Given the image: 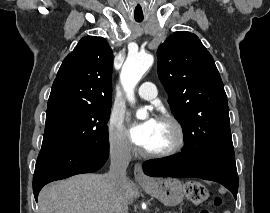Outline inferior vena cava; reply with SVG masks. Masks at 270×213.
Wrapping results in <instances>:
<instances>
[{
  "label": "inferior vena cava",
  "instance_id": "inferior-vena-cava-1",
  "mask_svg": "<svg viewBox=\"0 0 270 213\" xmlns=\"http://www.w3.org/2000/svg\"><path fill=\"white\" fill-rule=\"evenodd\" d=\"M110 170L106 174L111 186L117 193L123 192L124 183L127 180L126 169L131 160L130 146L127 142H120L110 150ZM117 213H128V207L124 206Z\"/></svg>",
  "mask_w": 270,
  "mask_h": 213
}]
</instances>
